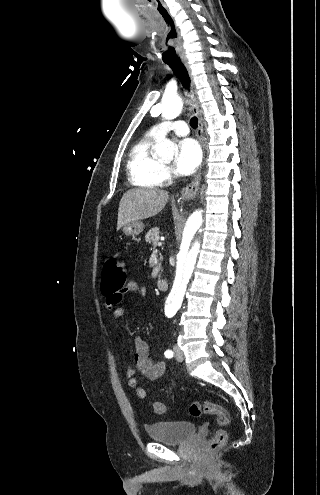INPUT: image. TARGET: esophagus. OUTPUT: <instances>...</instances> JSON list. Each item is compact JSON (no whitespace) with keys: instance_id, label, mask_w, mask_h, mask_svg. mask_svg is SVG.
<instances>
[{"instance_id":"34e87169","label":"esophagus","mask_w":320,"mask_h":495,"mask_svg":"<svg viewBox=\"0 0 320 495\" xmlns=\"http://www.w3.org/2000/svg\"><path fill=\"white\" fill-rule=\"evenodd\" d=\"M182 62H183L184 66H185V68L189 74L190 79H191L190 103H191V108L193 110V113L198 118V127H197L196 134H197V138L200 142V145L202 147L203 153H205L204 141H203V119H202V115H201V110H200V106H199V101H198L195 83L193 80L191 68L188 64V61L186 59H183ZM200 181H201V174L198 173L195 176L194 180L182 189L181 197L183 199L193 198L198 192Z\"/></svg>"}]
</instances>
